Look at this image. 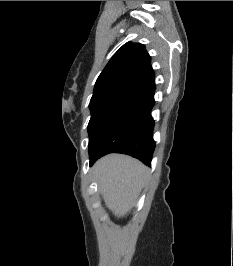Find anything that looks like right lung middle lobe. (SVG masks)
Masks as SVG:
<instances>
[{
	"label": "right lung middle lobe",
	"instance_id": "1",
	"mask_svg": "<svg viewBox=\"0 0 233 266\" xmlns=\"http://www.w3.org/2000/svg\"><path fill=\"white\" fill-rule=\"evenodd\" d=\"M147 96L145 92H120L91 99L89 154L98 150Z\"/></svg>",
	"mask_w": 233,
	"mask_h": 266
}]
</instances>
